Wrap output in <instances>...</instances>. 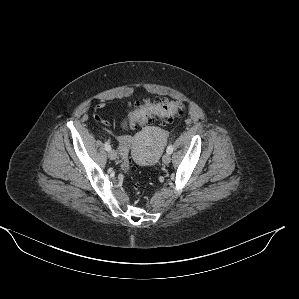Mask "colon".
Segmentation results:
<instances>
[{"label": "colon", "mask_w": 299, "mask_h": 299, "mask_svg": "<svg viewBox=\"0 0 299 299\" xmlns=\"http://www.w3.org/2000/svg\"><path fill=\"white\" fill-rule=\"evenodd\" d=\"M185 106L173 100L157 98L151 101H143L133 113L131 121L134 125L145 126L155 119L163 122L171 121L176 115L183 113ZM129 148L125 147L120 154L121 168L125 173L130 172L128 159Z\"/></svg>", "instance_id": "5ec220e1"}]
</instances>
